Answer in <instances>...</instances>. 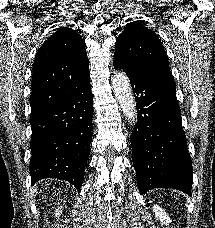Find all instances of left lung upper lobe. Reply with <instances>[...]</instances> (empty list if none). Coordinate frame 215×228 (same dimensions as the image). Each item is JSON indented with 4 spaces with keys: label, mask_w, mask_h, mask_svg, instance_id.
<instances>
[{
    "label": "left lung upper lobe",
    "mask_w": 215,
    "mask_h": 228,
    "mask_svg": "<svg viewBox=\"0 0 215 228\" xmlns=\"http://www.w3.org/2000/svg\"><path fill=\"white\" fill-rule=\"evenodd\" d=\"M114 60L134 72H170L167 54L160 39L139 22L126 26L117 39Z\"/></svg>",
    "instance_id": "5c2ea615"
}]
</instances>
